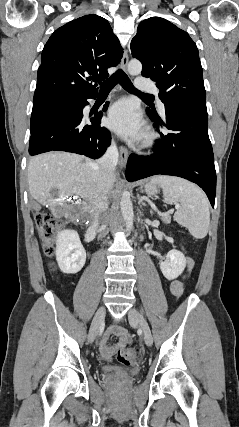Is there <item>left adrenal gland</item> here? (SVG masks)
<instances>
[{
    "label": "left adrenal gland",
    "instance_id": "obj_1",
    "mask_svg": "<svg viewBox=\"0 0 239 427\" xmlns=\"http://www.w3.org/2000/svg\"><path fill=\"white\" fill-rule=\"evenodd\" d=\"M137 197H138V204L139 205L142 204L143 206H146L145 202L143 201V198L140 195H138Z\"/></svg>",
    "mask_w": 239,
    "mask_h": 427
}]
</instances>
